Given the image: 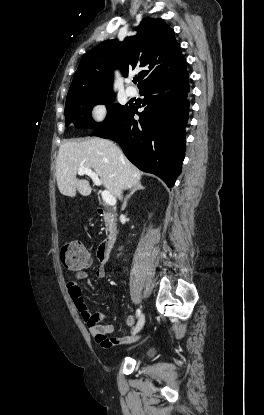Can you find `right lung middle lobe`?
<instances>
[{"mask_svg": "<svg viewBox=\"0 0 264 415\" xmlns=\"http://www.w3.org/2000/svg\"><path fill=\"white\" fill-rule=\"evenodd\" d=\"M115 96L113 92L101 94H84L66 99L65 124L74 123L79 128L95 129L101 125L110 123L122 113L128 106L112 104ZM96 104L107 105L108 115L103 123H96L91 117V110Z\"/></svg>", "mask_w": 264, "mask_h": 415, "instance_id": "obj_1", "label": "right lung middle lobe"}]
</instances>
